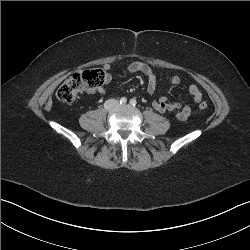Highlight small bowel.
I'll list each match as a JSON object with an SVG mask.
<instances>
[{"mask_svg": "<svg viewBox=\"0 0 250 250\" xmlns=\"http://www.w3.org/2000/svg\"><path fill=\"white\" fill-rule=\"evenodd\" d=\"M102 71L105 75L104 84H109L112 81L111 65L105 64ZM127 72L129 74L140 73L144 75L147 78V92L150 95H153L155 93L157 84L160 80V75L153 71V69L148 64L138 61L132 62L128 65ZM180 81V77L178 75H174L167 80V83L169 85H178ZM105 92L106 89L103 85L97 89V93L100 95L105 94ZM189 93L194 102H199L202 98V93L196 85H191L189 87ZM152 106L156 111L160 113L176 111V117L180 121L187 120L191 114L190 104L182 102H171L166 96H162L154 100Z\"/></svg>", "mask_w": 250, "mask_h": 250, "instance_id": "small-bowel-1", "label": "small bowel"}]
</instances>
